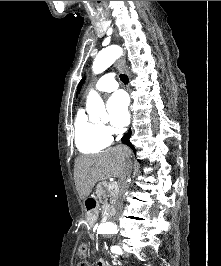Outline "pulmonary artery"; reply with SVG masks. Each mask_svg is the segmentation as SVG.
Returning a JSON list of instances; mask_svg holds the SVG:
<instances>
[{"instance_id":"1","label":"pulmonary artery","mask_w":221,"mask_h":266,"mask_svg":"<svg viewBox=\"0 0 221 266\" xmlns=\"http://www.w3.org/2000/svg\"><path fill=\"white\" fill-rule=\"evenodd\" d=\"M118 88V83L116 82L112 74H104L96 83L95 90L97 92H113Z\"/></svg>"}]
</instances>
